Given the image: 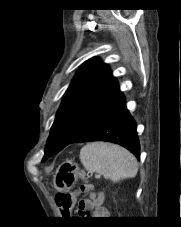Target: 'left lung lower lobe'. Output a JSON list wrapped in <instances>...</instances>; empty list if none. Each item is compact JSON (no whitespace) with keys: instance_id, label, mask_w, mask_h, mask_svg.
Here are the masks:
<instances>
[{"instance_id":"left-lung-lower-lobe-1","label":"left lung lower lobe","mask_w":181,"mask_h":227,"mask_svg":"<svg viewBox=\"0 0 181 227\" xmlns=\"http://www.w3.org/2000/svg\"><path fill=\"white\" fill-rule=\"evenodd\" d=\"M108 141L119 144L140 158L136 123L125 105V98L117 89L92 114L81 133L71 143Z\"/></svg>"}]
</instances>
